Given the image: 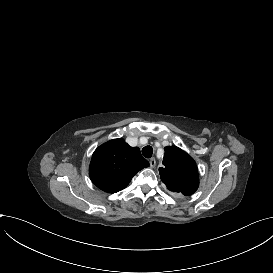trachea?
<instances>
[{
    "instance_id": "3493384b",
    "label": "trachea",
    "mask_w": 273,
    "mask_h": 273,
    "mask_svg": "<svg viewBox=\"0 0 273 273\" xmlns=\"http://www.w3.org/2000/svg\"><path fill=\"white\" fill-rule=\"evenodd\" d=\"M153 153V148L151 146H145L142 149V154L145 158H150Z\"/></svg>"
}]
</instances>
